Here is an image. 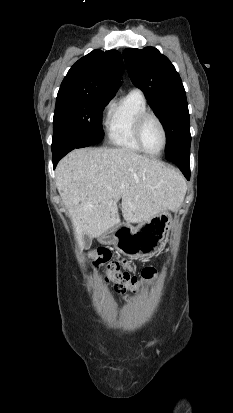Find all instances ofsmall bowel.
<instances>
[{
	"label": "small bowel",
	"mask_w": 233,
	"mask_h": 413,
	"mask_svg": "<svg viewBox=\"0 0 233 413\" xmlns=\"http://www.w3.org/2000/svg\"><path fill=\"white\" fill-rule=\"evenodd\" d=\"M118 259L123 264V267L125 268L126 272H131L132 274L136 273V270L132 269V266L128 264L129 257L127 255H119Z\"/></svg>",
	"instance_id": "1"
}]
</instances>
